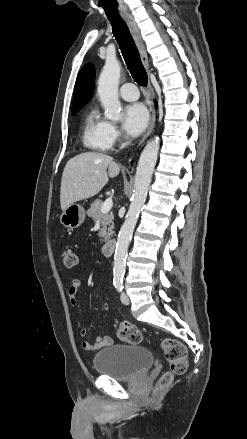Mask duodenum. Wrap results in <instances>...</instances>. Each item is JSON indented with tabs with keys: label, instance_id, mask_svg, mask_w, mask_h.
Here are the masks:
<instances>
[{
	"label": "duodenum",
	"instance_id": "obj_1",
	"mask_svg": "<svg viewBox=\"0 0 247 439\" xmlns=\"http://www.w3.org/2000/svg\"><path fill=\"white\" fill-rule=\"evenodd\" d=\"M116 248V243L114 240H108L106 241L102 246V253L104 256H111Z\"/></svg>",
	"mask_w": 247,
	"mask_h": 439
}]
</instances>
